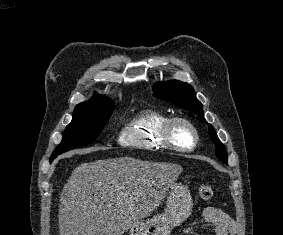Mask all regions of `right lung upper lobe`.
Returning a JSON list of instances; mask_svg holds the SVG:
<instances>
[{"label": "right lung upper lobe", "instance_id": "cb5924a9", "mask_svg": "<svg viewBox=\"0 0 283 235\" xmlns=\"http://www.w3.org/2000/svg\"><path fill=\"white\" fill-rule=\"evenodd\" d=\"M111 104V102L103 96L99 94H95V96L88 102H82L77 106H89V105H106Z\"/></svg>", "mask_w": 283, "mask_h": 235}]
</instances>
